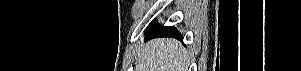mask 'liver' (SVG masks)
<instances>
[{
  "mask_svg": "<svg viewBox=\"0 0 301 71\" xmlns=\"http://www.w3.org/2000/svg\"><path fill=\"white\" fill-rule=\"evenodd\" d=\"M187 51L175 39L146 43L136 58L135 71H187Z\"/></svg>",
  "mask_w": 301,
  "mask_h": 71,
  "instance_id": "1",
  "label": "liver"
}]
</instances>
